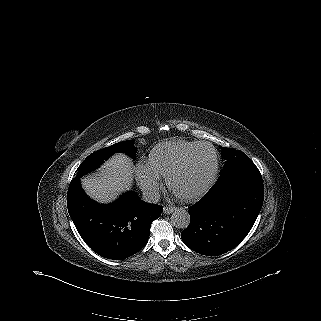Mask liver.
I'll list each match as a JSON object with an SVG mask.
<instances>
[{"instance_id":"1","label":"liver","mask_w":321,"mask_h":321,"mask_svg":"<svg viewBox=\"0 0 321 321\" xmlns=\"http://www.w3.org/2000/svg\"><path fill=\"white\" fill-rule=\"evenodd\" d=\"M132 175L131 160L117 154L104 164L99 173L82 179V186L93 199L102 203L111 202L118 193L129 189Z\"/></svg>"}]
</instances>
